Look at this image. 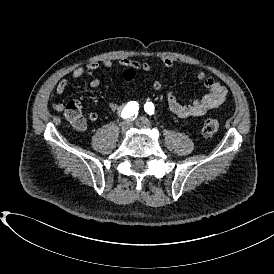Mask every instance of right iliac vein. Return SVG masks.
Segmentation results:
<instances>
[{
	"mask_svg": "<svg viewBox=\"0 0 274 274\" xmlns=\"http://www.w3.org/2000/svg\"><path fill=\"white\" fill-rule=\"evenodd\" d=\"M119 126H120L121 133H122V134H125V133H127V132L130 130V128L132 127V123H131L130 120H126V121L120 123Z\"/></svg>",
	"mask_w": 274,
	"mask_h": 274,
	"instance_id": "1",
	"label": "right iliac vein"
}]
</instances>
